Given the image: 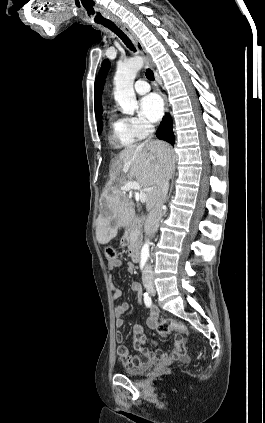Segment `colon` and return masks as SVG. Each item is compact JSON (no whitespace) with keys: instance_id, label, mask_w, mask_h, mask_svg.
Segmentation results:
<instances>
[{"instance_id":"5ec220e1","label":"colon","mask_w":265,"mask_h":423,"mask_svg":"<svg viewBox=\"0 0 265 423\" xmlns=\"http://www.w3.org/2000/svg\"><path fill=\"white\" fill-rule=\"evenodd\" d=\"M105 256L109 262L115 261L118 257V253L115 248L107 247L105 249ZM157 331L160 335L165 336L172 331L186 332L187 327L183 323H179L171 319H165L157 325Z\"/></svg>"}]
</instances>
